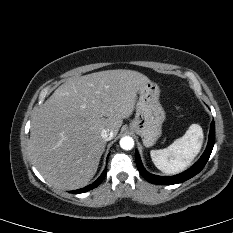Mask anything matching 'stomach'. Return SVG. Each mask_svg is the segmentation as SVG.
Wrapping results in <instances>:
<instances>
[{"label": "stomach", "mask_w": 233, "mask_h": 233, "mask_svg": "<svg viewBox=\"0 0 233 233\" xmlns=\"http://www.w3.org/2000/svg\"><path fill=\"white\" fill-rule=\"evenodd\" d=\"M135 118L130 123V130L141 136L143 144L150 147L162 133L165 111L159 102L160 89L154 82H147L138 89Z\"/></svg>", "instance_id": "stomach-1"}]
</instances>
